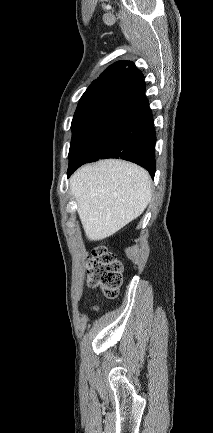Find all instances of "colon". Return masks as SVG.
Returning a JSON list of instances; mask_svg holds the SVG:
<instances>
[{
    "mask_svg": "<svg viewBox=\"0 0 213 433\" xmlns=\"http://www.w3.org/2000/svg\"><path fill=\"white\" fill-rule=\"evenodd\" d=\"M123 278V265L104 246L92 250L88 264V285L99 288L108 298L117 296Z\"/></svg>",
    "mask_w": 213,
    "mask_h": 433,
    "instance_id": "colon-1",
    "label": "colon"
}]
</instances>
